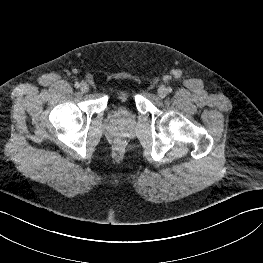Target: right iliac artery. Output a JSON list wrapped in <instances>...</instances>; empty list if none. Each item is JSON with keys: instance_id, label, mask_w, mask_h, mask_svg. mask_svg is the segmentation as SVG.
Instances as JSON below:
<instances>
[{"instance_id": "obj_1", "label": "right iliac artery", "mask_w": 263, "mask_h": 263, "mask_svg": "<svg viewBox=\"0 0 263 263\" xmlns=\"http://www.w3.org/2000/svg\"><path fill=\"white\" fill-rule=\"evenodd\" d=\"M76 88H80V84L78 82L75 83L74 85Z\"/></svg>"}]
</instances>
